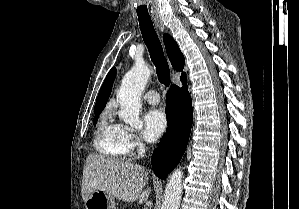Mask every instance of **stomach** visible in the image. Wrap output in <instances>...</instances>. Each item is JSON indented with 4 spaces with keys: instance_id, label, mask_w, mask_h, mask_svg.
<instances>
[{
    "instance_id": "1",
    "label": "stomach",
    "mask_w": 299,
    "mask_h": 209,
    "mask_svg": "<svg viewBox=\"0 0 299 209\" xmlns=\"http://www.w3.org/2000/svg\"><path fill=\"white\" fill-rule=\"evenodd\" d=\"M86 209H116L115 198L109 193L98 190L85 201Z\"/></svg>"
}]
</instances>
